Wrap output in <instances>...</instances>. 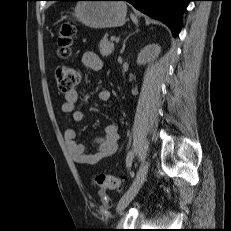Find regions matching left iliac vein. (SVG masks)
<instances>
[{"instance_id":"4c4485c4","label":"left iliac vein","mask_w":231,"mask_h":231,"mask_svg":"<svg viewBox=\"0 0 231 231\" xmlns=\"http://www.w3.org/2000/svg\"><path fill=\"white\" fill-rule=\"evenodd\" d=\"M148 169L149 162H143L136 174L133 184L131 185L127 193L121 198L119 204L117 205L118 213H121L127 207V205L134 199V197L136 196L146 179Z\"/></svg>"}]
</instances>
